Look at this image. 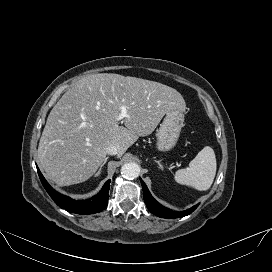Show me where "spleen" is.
<instances>
[{
  "instance_id": "1",
  "label": "spleen",
  "mask_w": 272,
  "mask_h": 272,
  "mask_svg": "<svg viewBox=\"0 0 272 272\" xmlns=\"http://www.w3.org/2000/svg\"><path fill=\"white\" fill-rule=\"evenodd\" d=\"M216 174V158L213 149L204 147L189 163V169H179L174 180L182 185L193 187L199 191L209 189Z\"/></svg>"
}]
</instances>
